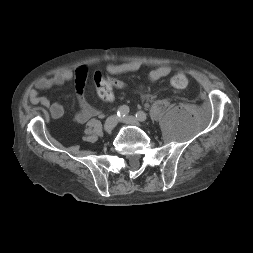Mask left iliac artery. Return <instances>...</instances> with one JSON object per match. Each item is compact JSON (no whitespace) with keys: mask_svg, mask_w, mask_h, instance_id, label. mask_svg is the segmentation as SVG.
Masks as SVG:
<instances>
[{"mask_svg":"<svg viewBox=\"0 0 253 253\" xmlns=\"http://www.w3.org/2000/svg\"><path fill=\"white\" fill-rule=\"evenodd\" d=\"M135 116L139 121H146L147 119V115L143 111H138Z\"/></svg>","mask_w":253,"mask_h":253,"instance_id":"obj_1","label":"left iliac artery"}]
</instances>
